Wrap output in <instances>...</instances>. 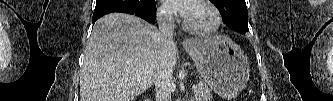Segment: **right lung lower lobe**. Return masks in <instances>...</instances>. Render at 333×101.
<instances>
[{"instance_id":"1","label":"right lung lower lobe","mask_w":333,"mask_h":101,"mask_svg":"<svg viewBox=\"0 0 333 101\" xmlns=\"http://www.w3.org/2000/svg\"><path fill=\"white\" fill-rule=\"evenodd\" d=\"M112 12L134 14L153 22L156 19L155 0H96L93 24L101 16Z\"/></svg>"}]
</instances>
